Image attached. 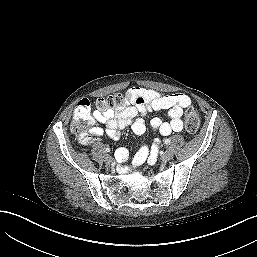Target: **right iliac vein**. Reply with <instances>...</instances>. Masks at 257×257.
I'll return each instance as SVG.
<instances>
[{"instance_id": "obj_1", "label": "right iliac vein", "mask_w": 257, "mask_h": 257, "mask_svg": "<svg viewBox=\"0 0 257 257\" xmlns=\"http://www.w3.org/2000/svg\"><path fill=\"white\" fill-rule=\"evenodd\" d=\"M105 162L107 163V164H110V163H112V161H113V158L110 156V155H105Z\"/></svg>"}]
</instances>
